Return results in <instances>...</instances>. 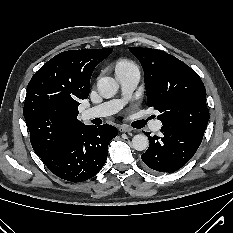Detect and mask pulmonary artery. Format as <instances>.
I'll return each mask as SVG.
<instances>
[{
    "mask_svg": "<svg viewBox=\"0 0 233 233\" xmlns=\"http://www.w3.org/2000/svg\"><path fill=\"white\" fill-rule=\"evenodd\" d=\"M116 78L121 87L122 99L111 100L84 110L82 112V118L84 120L106 117L117 113L135 90L140 79V72L135 66L128 67L126 69L116 71ZM161 127L162 122L159 120H155L151 123V128L153 131L158 132L160 131Z\"/></svg>",
    "mask_w": 233,
    "mask_h": 233,
    "instance_id": "1",
    "label": "pulmonary artery"
}]
</instances>
